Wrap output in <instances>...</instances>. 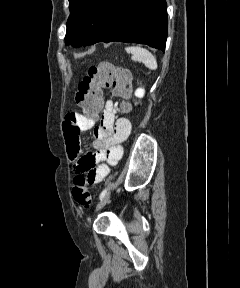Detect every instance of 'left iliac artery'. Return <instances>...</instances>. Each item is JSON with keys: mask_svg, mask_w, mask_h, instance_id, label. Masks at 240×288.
I'll return each mask as SVG.
<instances>
[{"mask_svg": "<svg viewBox=\"0 0 240 288\" xmlns=\"http://www.w3.org/2000/svg\"><path fill=\"white\" fill-rule=\"evenodd\" d=\"M107 193V189H104L101 193H100V196H99V199L101 200Z\"/></svg>", "mask_w": 240, "mask_h": 288, "instance_id": "obj_1", "label": "left iliac artery"}]
</instances>
